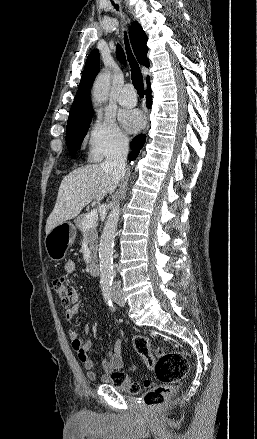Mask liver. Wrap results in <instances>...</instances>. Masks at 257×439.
Instances as JSON below:
<instances>
[{"mask_svg":"<svg viewBox=\"0 0 257 439\" xmlns=\"http://www.w3.org/2000/svg\"><path fill=\"white\" fill-rule=\"evenodd\" d=\"M114 187L113 169L104 163L86 165L66 175L59 187L55 207L46 222V234L75 218L91 201H101Z\"/></svg>","mask_w":257,"mask_h":439,"instance_id":"liver-1","label":"liver"}]
</instances>
